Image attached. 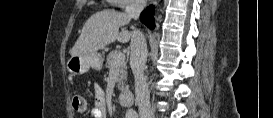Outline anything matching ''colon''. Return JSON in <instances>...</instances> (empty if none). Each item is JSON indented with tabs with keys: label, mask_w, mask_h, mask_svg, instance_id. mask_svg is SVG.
<instances>
[{
	"label": "colon",
	"mask_w": 273,
	"mask_h": 118,
	"mask_svg": "<svg viewBox=\"0 0 273 118\" xmlns=\"http://www.w3.org/2000/svg\"><path fill=\"white\" fill-rule=\"evenodd\" d=\"M72 107L76 112L83 113L87 109V104L83 96L76 94L72 97Z\"/></svg>",
	"instance_id": "5ec220e1"
}]
</instances>
